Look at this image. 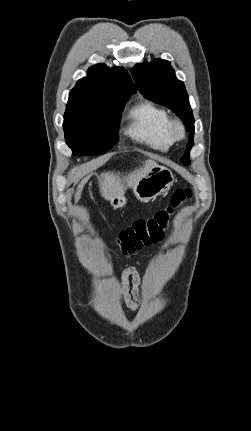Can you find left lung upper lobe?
Masks as SVG:
<instances>
[{"instance_id":"left-lung-upper-lobe-1","label":"left lung upper lobe","mask_w":251,"mask_h":431,"mask_svg":"<svg viewBox=\"0 0 251 431\" xmlns=\"http://www.w3.org/2000/svg\"><path fill=\"white\" fill-rule=\"evenodd\" d=\"M132 75L144 96L175 112L183 121L186 131L194 130L189 96L183 82L175 77L169 61L159 58L149 63L137 64L132 69ZM193 137L194 131H190L186 151L181 159L184 164L189 163V152L194 143Z\"/></svg>"}]
</instances>
